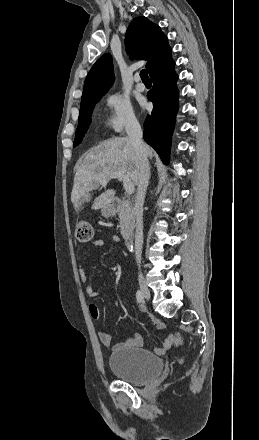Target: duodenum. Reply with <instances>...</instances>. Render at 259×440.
I'll list each match as a JSON object with an SVG mask.
<instances>
[{"mask_svg": "<svg viewBox=\"0 0 259 440\" xmlns=\"http://www.w3.org/2000/svg\"><path fill=\"white\" fill-rule=\"evenodd\" d=\"M119 200L118 199H114L109 203V208L110 209H114L115 207H117V205L119 204ZM124 240H125V244L128 248H132L133 247V243H134V237L133 234L131 232H127L124 235Z\"/></svg>", "mask_w": 259, "mask_h": 440, "instance_id": "duodenum-1", "label": "duodenum"}]
</instances>
